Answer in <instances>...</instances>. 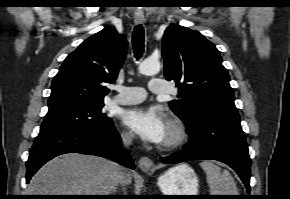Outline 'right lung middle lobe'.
<instances>
[{
    "mask_svg": "<svg viewBox=\"0 0 290 199\" xmlns=\"http://www.w3.org/2000/svg\"><path fill=\"white\" fill-rule=\"evenodd\" d=\"M103 102L48 113L40 131L71 129L83 126H102L112 120L102 112Z\"/></svg>",
    "mask_w": 290,
    "mask_h": 199,
    "instance_id": "obj_1",
    "label": "right lung middle lobe"
}]
</instances>
